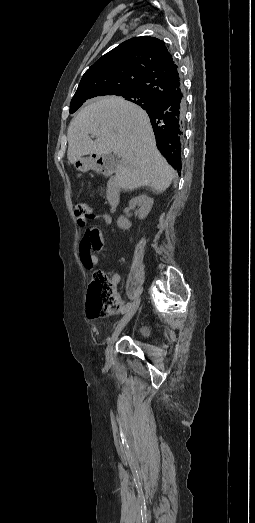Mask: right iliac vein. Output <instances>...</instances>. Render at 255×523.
I'll use <instances>...</instances> for the list:
<instances>
[{
  "label": "right iliac vein",
  "instance_id": "1",
  "mask_svg": "<svg viewBox=\"0 0 255 523\" xmlns=\"http://www.w3.org/2000/svg\"><path fill=\"white\" fill-rule=\"evenodd\" d=\"M140 299H136L129 309L125 312L122 319L119 321L114 333L112 334L111 338L109 339L108 346L106 348V357L107 359H111L113 354V345L115 341L117 340L118 336L120 335L121 331L124 329V327L127 325V323L130 321L134 313L136 312L137 308L139 307Z\"/></svg>",
  "mask_w": 255,
  "mask_h": 523
}]
</instances>
